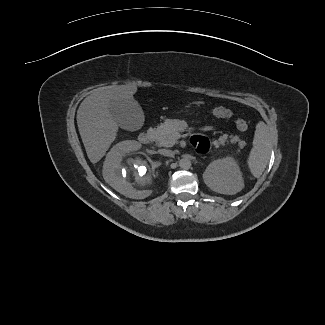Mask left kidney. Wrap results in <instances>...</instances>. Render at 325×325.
I'll use <instances>...</instances> for the list:
<instances>
[{
	"label": "left kidney",
	"instance_id": "left-kidney-1",
	"mask_svg": "<svg viewBox=\"0 0 325 325\" xmlns=\"http://www.w3.org/2000/svg\"><path fill=\"white\" fill-rule=\"evenodd\" d=\"M203 180L211 190L220 194H236L244 186L242 173L232 157L212 161L203 173Z\"/></svg>",
	"mask_w": 325,
	"mask_h": 325
}]
</instances>
